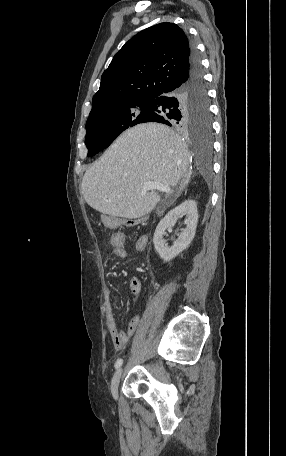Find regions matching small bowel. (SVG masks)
Segmentation results:
<instances>
[{"instance_id":"obj_1","label":"small bowel","mask_w":286,"mask_h":456,"mask_svg":"<svg viewBox=\"0 0 286 456\" xmlns=\"http://www.w3.org/2000/svg\"><path fill=\"white\" fill-rule=\"evenodd\" d=\"M112 237H116L117 240L112 241ZM148 239L146 236H140L137 238L134 249L137 252H141L147 246ZM110 246L112 249V254L115 258L125 259L127 257V251L124 247V235L120 232H116L110 237ZM130 289L134 295H139L142 291L141 281L138 277H133L130 281ZM140 322V315H136L129 322L128 328L126 331L120 330L117 325V321L112 310L111 304L108 302L106 304V326L110 334L112 343L116 350H121L129 341L130 337L135 333Z\"/></svg>"}]
</instances>
